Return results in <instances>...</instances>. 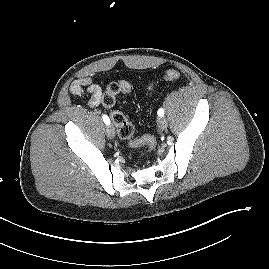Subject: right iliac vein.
Segmentation results:
<instances>
[{"label":"right iliac vein","mask_w":269,"mask_h":269,"mask_svg":"<svg viewBox=\"0 0 269 269\" xmlns=\"http://www.w3.org/2000/svg\"><path fill=\"white\" fill-rule=\"evenodd\" d=\"M106 135L111 139L115 137V129L112 125L106 127Z\"/></svg>","instance_id":"right-iliac-vein-1"}]
</instances>
